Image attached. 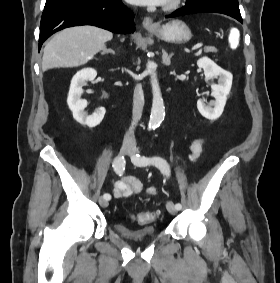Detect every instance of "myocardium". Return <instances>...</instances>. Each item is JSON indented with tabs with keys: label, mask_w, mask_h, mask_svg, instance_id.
Segmentation results:
<instances>
[{
	"label": "myocardium",
	"mask_w": 280,
	"mask_h": 283,
	"mask_svg": "<svg viewBox=\"0 0 280 283\" xmlns=\"http://www.w3.org/2000/svg\"><path fill=\"white\" fill-rule=\"evenodd\" d=\"M183 0H166L163 4V10L172 11L180 7Z\"/></svg>",
	"instance_id": "1"
}]
</instances>
